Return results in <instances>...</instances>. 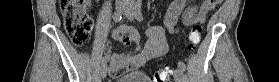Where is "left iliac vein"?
Returning a JSON list of instances; mask_svg holds the SVG:
<instances>
[{"label":"left iliac vein","instance_id":"obj_1","mask_svg":"<svg viewBox=\"0 0 279 82\" xmlns=\"http://www.w3.org/2000/svg\"><path fill=\"white\" fill-rule=\"evenodd\" d=\"M124 15L128 20H133L135 12L132 6H127ZM174 78L176 82H184V73L181 69L177 68L174 70Z\"/></svg>","mask_w":279,"mask_h":82}]
</instances>
